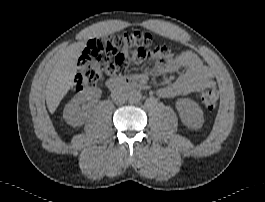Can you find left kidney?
Listing matches in <instances>:
<instances>
[{
	"mask_svg": "<svg viewBox=\"0 0 265 202\" xmlns=\"http://www.w3.org/2000/svg\"><path fill=\"white\" fill-rule=\"evenodd\" d=\"M181 121L190 129H200L204 123L203 111L195 101L183 98L176 101Z\"/></svg>",
	"mask_w": 265,
	"mask_h": 202,
	"instance_id": "1",
	"label": "left kidney"
}]
</instances>
